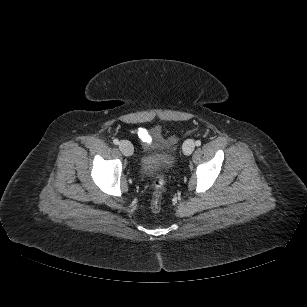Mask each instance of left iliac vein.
Wrapping results in <instances>:
<instances>
[{"label": "left iliac vein", "instance_id": "left-iliac-vein-1", "mask_svg": "<svg viewBox=\"0 0 307 307\" xmlns=\"http://www.w3.org/2000/svg\"><path fill=\"white\" fill-rule=\"evenodd\" d=\"M195 148V142L192 139H188L183 144V152L186 155L192 154Z\"/></svg>", "mask_w": 307, "mask_h": 307}]
</instances>
